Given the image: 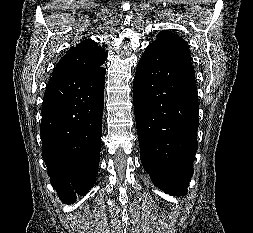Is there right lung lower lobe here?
Masks as SVG:
<instances>
[{
  "mask_svg": "<svg viewBox=\"0 0 253 233\" xmlns=\"http://www.w3.org/2000/svg\"><path fill=\"white\" fill-rule=\"evenodd\" d=\"M105 69L53 75L41 121L42 156L51 184L65 203L95 183L100 159Z\"/></svg>",
  "mask_w": 253,
  "mask_h": 233,
  "instance_id": "98d812e1",
  "label": "right lung lower lobe"
}]
</instances>
